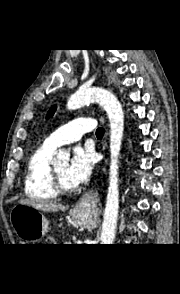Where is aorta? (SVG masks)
I'll return each instance as SVG.
<instances>
[{"mask_svg": "<svg viewBox=\"0 0 180 294\" xmlns=\"http://www.w3.org/2000/svg\"><path fill=\"white\" fill-rule=\"evenodd\" d=\"M92 102H97L104 108L110 121L109 187L101 231V244L110 245L115 238L119 209L118 163L124 131V113L118 99L98 87L78 90L68 99L67 108L75 110ZM57 158L59 163H68L70 153L59 150Z\"/></svg>", "mask_w": 180, "mask_h": 294, "instance_id": "762f6f07", "label": "aorta"}]
</instances>
